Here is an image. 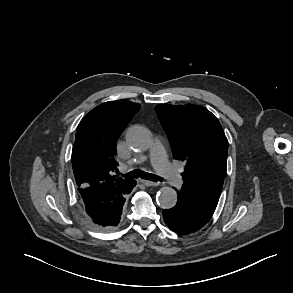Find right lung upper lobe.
Segmentation results:
<instances>
[{"label": "right lung upper lobe", "mask_w": 293, "mask_h": 293, "mask_svg": "<svg viewBox=\"0 0 293 293\" xmlns=\"http://www.w3.org/2000/svg\"><path fill=\"white\" fill-rule=\"evenodd\" d=\"M127 100L109 101L91 110L79 123L72 150V167L78 187L120 186L128 179L118 177L116 142L139 110Z\"/></svg>", "instance_id": "right-lung-upper-lobe-1"}]
</instances>
